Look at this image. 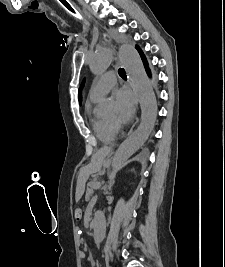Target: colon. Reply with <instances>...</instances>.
Segmentation results:
<instances>
[{"label": "colon", "instance_id": "1", "mask_svg": "<svg viewBox=\"0 0 225 267\" xmlns=\"http://www.w3.org/2000/svg\"><path fill=\"white\" fill-rule=\"evenodd\" d=\"M63 4V6L66 8V10L75 13V10L73 6L69 3H67L65 0H59ZM74 216L77 220H79L82 217V209L80 207H76L74 210Z\"/></svg>", "mask_w": 225, "mask_h": 267}]
</instances>
